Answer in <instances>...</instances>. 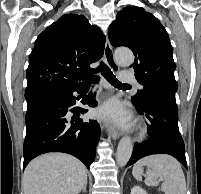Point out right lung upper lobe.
<instances>
[{"instance_id": "right-lung-upper-lobe-1", "label": "right lung upper lobe", "mask_w": 201, "mask_h": 194, "mask_svg": "<svg viewBox=\"0 0 201 194\" xmlns=\"http://www.w3.org/2000/svg\"><path fill=\"white\" fill-rule=\"evenodd\" d=\"M105 37L83 15L68 14L47 27L36 39L29 57L27 88L75 87L87 82L90 64L104 52Z\"/></svg>"}]
</instances>
